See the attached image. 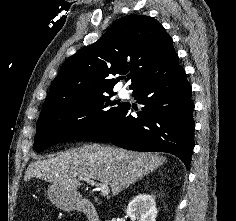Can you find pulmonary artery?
<instances>
[{"label": "pulmonary artery", "mask_w": 236, "mask_h": 221, "mask_svg": "<svg viewBox=\"0 0 236 221\" xmlns=\"http://www.w3.org/2000/svg\"><path fill=\"white\" fill-rule=\"evenodd\" d=\"M121 97H126L128 95V91L125 88H122L119 92Z\"/></svg>", "instance_id": "pulmonary-artery-1"}]
</instances>
